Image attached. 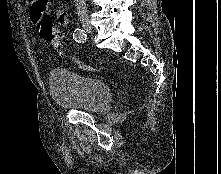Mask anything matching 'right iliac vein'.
Listing matches in <instances>:
<instances>
[{
    "label": "right iliac vein",
    "instance_id": "right-iliac-vein-1",
    "mask_svg": "<svg viewBox=\"0 0 221 174\" xmlns=\"http://www.w3.org/2000/svg\"><path fill=\"white\" fill-rule=\"evenodd\" d=\"M81 24H82V27L84 28V30L87 33H89V34L92 33V25H91V23H90L88 18H82L81 19Z\"/></svg>",
    "mask_w": 221,
    "mask_h": 174
}]
</instances>
